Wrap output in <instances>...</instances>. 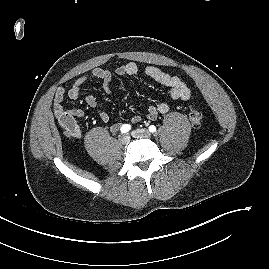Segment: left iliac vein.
<instances>
[{
  "instance_id": "4c4485c4",
  "label": "left iliac vein",
  "mask_w": 269,
  "mask_h": 269,
  "mask_svg": "<svg viewBox=\"0 0 269 269\" xmlns=\"http://www.w3.org/2000/svg\"><path fill=\"white\" fill-rule=\"evenodd\" d=\"M134 138H150L151 133L147 129H136L131 132Z\"/></svg>"
}]
</instances>
